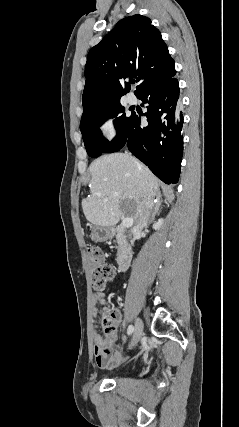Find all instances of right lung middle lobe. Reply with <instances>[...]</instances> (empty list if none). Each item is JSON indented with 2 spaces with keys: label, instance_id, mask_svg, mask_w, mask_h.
Returning a JSON list of instances; mask_svg holds the SVG:
<instances>
[{
  "label": "right lung middle lobe",
  "instance_id": "obj_1",
  "mask_svg": "<svg viewBox=\"0 0 239 427\" xmlns=\"http://www.w3.org/2000/svg\"><path fill=\"white\" fill-rule=\"evenodd\" d=\"M124 112L125 108L120 102H112L97 106L82 116L80 130L90 157L96 158L102 153H112L123 147L133 117V114L126 116ZM111 117H116L114 125L117 129V136L110 143L103 137L99 127Z\"/></svg>",
  "mask_w": 239,
  "mask_h": 427
}]
</instances>
